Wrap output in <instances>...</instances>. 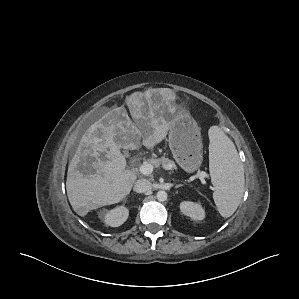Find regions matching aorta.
I'll return each instance as SVG.
<instances>
[{"label":"aorta","mask_w":299,"mask_h":299,"mask_svg":"<svg viewBox=\"0 0 299 299\" xmlns=\"http://www.w3.org/2000/svg\"><path fill=\"white\" fill-rule=\"evenodd\" d=\"M167 197H168L167 192L163 191V190L158 191L157 194H156V198L160 202L166 201Z\"/></svg>","instance_id":"aorta-1"}]
</instances>
